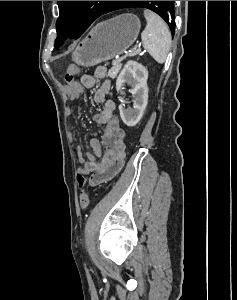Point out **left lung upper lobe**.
Instances as JSON below:
<instances>
[{
  "label": "left lung upper lobe",
  "mask_w": 237,
  "mask_h": 300,
  "mask_svg": "<svg viewBox=\"0 0 237 300\" xmlns=\"http://www.w3.org/2000/svg\"><path fill=\"white\" fill-rule=\"evenodd\" d=\"M112 1H57L59 17L56 22L57 38L55 46L69 37L79 38L86 29L101 15ZM147 8L160 15L170 30H175L174 1L161 6L160 1H122V8Z\"/></svg>",
  "instance_id": "left-lung-upper-lobe-1"
}]
</instances>
